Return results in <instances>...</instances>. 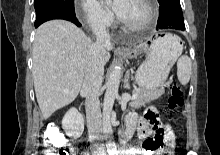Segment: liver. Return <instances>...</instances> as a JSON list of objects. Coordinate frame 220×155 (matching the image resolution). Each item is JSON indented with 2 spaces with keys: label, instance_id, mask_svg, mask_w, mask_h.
I'll use <instances>...</instances> for the list:
<instances>
[{
  "label": "liver",
  "instance_id": "1",
  "mask_svg": "<svg viewBox=\"0 0 220 155\" xmlns=\"http://www.w3.org/2000/svg\"><path fill=\"white\" fill-rule=\"evenodd\" d=\"M92 44L80 28L65 20L45 22L36 30L32 74L44 119L77 98ZM104 58L107 63L110 53Z\"/></svg>",
  "mask_w": 220,
  "mask_h": 155
}]
</instances>
